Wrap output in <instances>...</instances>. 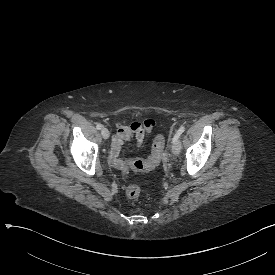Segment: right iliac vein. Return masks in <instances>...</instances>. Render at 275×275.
Segmentation results:
<instances>
[{
  "instance_id": "right-iliac-vein-1",
  "label": "right iliac vein",
  "mask_w": 275,
  "mask_h": 275,
  "mask_svg": "<svg viewBox=\"0 0 275 275\" xmlns=\"http://www.w3.org/2000/svg\"><path fill=\"white\" fill-rule=\"evenodd\" d=\"M101 134H102V137H103L104 139H108L109 136H110V133H109L108 129H106V128H102Z\"/></svg>"
}]
</instances>
